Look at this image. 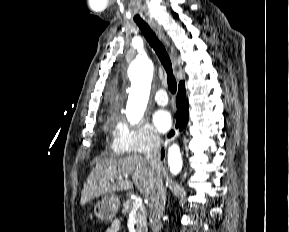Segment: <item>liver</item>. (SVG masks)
I'll return each instance as SVG.
<instances>
[{
    "label": "liver",
    "instance_id": "6515ba94",
    "mask_svg": "<svg viewBox=\"0 0 289 232\" xmlns=\"http://www.w3.org/2000/svg\"><path fill=\"white\" fill-rule=\"evenodd\" d=\"M132 176V182L127 176ZM162 176V168L157 169L141 155L132 154L121 158L111 157L96 164L89 174L81 192V205L100 196L112 195L116 191L133 189L148 196L155 188L158 176ZM122 176L124 179L110 182L111 178Z\"/></svg>",
    "mask_w": 289,
    "mask_h": 232
}]
</instances>
